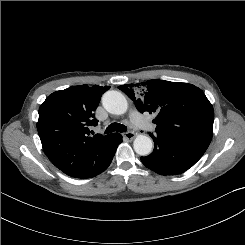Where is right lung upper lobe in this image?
I'll return each mask as SVG.
<instances>
[{"instance_id":"right-lung-upper-lobe-1","label":"right lung upper lobe","mask_w":245,"mask_h":245,"mask_svg":"<svg viewBox=\"0 0 245 245\" xmlns=\"http://www.w3.org/2000/svg\"><path fill=\"white\" fill-rule=\"evenodd\" d=\"M109 86H72L49 95L39 108L37 129L49 160L62 172L85 179L101 165L116 133L90 137L94 111Z\"/></svg>"}]
</instances>
